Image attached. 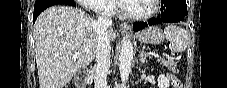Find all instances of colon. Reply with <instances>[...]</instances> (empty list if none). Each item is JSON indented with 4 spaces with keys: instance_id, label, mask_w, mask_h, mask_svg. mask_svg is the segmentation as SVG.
Masks as SVG:
<instances>
[{
    "instance_id": "1",
    "label": "colon",
    "mask_w": 227,
    "mask_h": 88,
    "mask_svg": "<svg viewBox=\"0 0 227 88\" xmlns=\"http://www.w3.org/2000/svg\"><path fill=\"white\" fill-rule=\"evenodd\" d=\"M173 87H174V88H181L182 86H181L180 82L174 81Z\"/></svg>"
}]
</instances>
